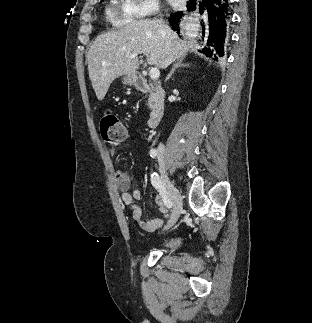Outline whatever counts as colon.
Here are the masks:
<instances>
[{
  "instance_id": "5ec220e1",
  "label": "colon",
  "mask_w": 312,
  "mask_h": 323,
  "mask_svg": "<svg viewBox=\"0 0 312 323\" xmlns=\"http://www.w3.org/2000/svg\"><path fill=\"white\" fill-rule=\"evenodd\" d=\"M101 134L106 143L122 141L126 136V127L123 121L114 114H105L100 121Z\"/></svg>"
}]
</instances>
